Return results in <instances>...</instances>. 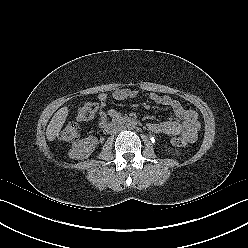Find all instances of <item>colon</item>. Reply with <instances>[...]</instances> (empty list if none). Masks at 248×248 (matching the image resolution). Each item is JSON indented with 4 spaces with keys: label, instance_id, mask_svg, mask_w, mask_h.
<instances>
[{
    "label": "colon",
    "instance_id": "colon-1",
    "mask_svg": "<svg viewBox=\"0 0 248 248\" xmlns=\"http://www.w3.org/2000/svg\"><path fill=\"white\" fill-rule=\"evenodd\" d=\"M98 110V104L95 102H88L78 109L77 118L80 121H88L92 119ZM79 127L75 122L68 123L60 133V139L73 143L79 139ZM171 144L176 147H183L188 144L184 137H174L171 139Z\"/></svg>",
    "mask_w": 248,
    "mask_h": 248
}]
</instances>
